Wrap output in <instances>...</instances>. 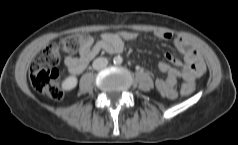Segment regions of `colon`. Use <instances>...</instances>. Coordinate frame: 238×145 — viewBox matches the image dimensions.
Returning <instances> with one entry per match:
<instances>
[{
    "instance_id": "obj_1",
    "label": "colon",
    "mask_w": 238,
    "mask_h": 145,
    "mask_svg": "<svg viewBox=\"0 0 238 145\" xmlns=\"http://www.w3.org/2000/svg\"><path fill=\"white\" fill-rule=\"evenodd\" d=\"M86 36L76 34L67 36L59 43H51L36 56L30 69L29 79L32 87L39 93L54 100L62 99L64 93L60 86L59 72L56 69L60 62L61 51L73 53L80 49ZM193 86L183 84L181 96H188L193 92Z\"/></svg>"
}]
</instances>
